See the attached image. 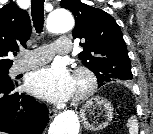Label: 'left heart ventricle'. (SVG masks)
Instances as JSON below:
<instances>
[{"mask_svg": "<svg viewBox=\"0 0 153 134\" xmlns=\"http://www.w3.org/2000/svg\"><path fill=\"white\" fill-rule=\"evenodd\" d=\"M83 87V81L80 79H76L74 78V94H76L78 91L81 90V88Z\"/></svg>", "mask_w": 153, "mask_h": 134, "instance_id": "b2bd125f", "label": "left heart ventricle"}]
</instances>
